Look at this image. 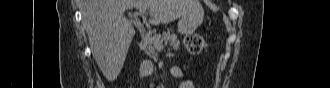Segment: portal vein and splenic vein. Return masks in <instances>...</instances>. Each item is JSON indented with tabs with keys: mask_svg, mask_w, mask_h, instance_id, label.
<instances>
[{
	"mask_svg": "<svg viewBox=\"0 0 330 88\" xmlns=\"http://www.w3.org/2000/svg\"><path fill=\"white\" fill-rule=\"evenodd\" d=\"M138 14L141 15V16H144V14H145V9H139ZM155 48H156L158 51H161V50H163L164 46H163V44H161V43H155Z\"/></svg>",
	"mask_w": 330,
	"mask_h": 88,
	"instance_id": "obj_1",
	"label": "portal vein and splenic vein"
}]
</instances>
